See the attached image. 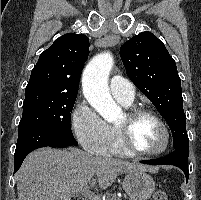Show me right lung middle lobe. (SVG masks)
<instances>
[{
  "label": "right lung middle lobe",
  "instance_id": "1",
  "mask_svg": "<svg viewBox=\"0 0 201 200\" xmlns=\"http://www.w3.org/2000/svg\"><path fill=\"white\" fill-rule=\"evenodd\" d=\"M76 97L49 91L26 93L18 130L32 126H43L73 135L70 119Z\"/></svg>",
  "mask_w": 201,
  "mask_h": 200
}]
</instances>
